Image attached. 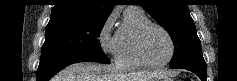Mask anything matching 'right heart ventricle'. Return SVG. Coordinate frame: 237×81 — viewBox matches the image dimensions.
I'll return each instance as SVG.
<instances>
[{
  "mask_svg": "<svg viewBox=\"0 0 237 81\" xmlns=\"http://www.w3.org/2000/svg\"><path fill=\"white\" fill-rule=\"evenodd\" d=\"M150 22L148 16L141 9L130 8L125 11L124 23L116 32L115 61L126 68H141L144 64L135 52V36L138 29Z\"/></svg>",
  "mask_w": 237,
  "mask_h": 81,
  "instance_id": "e07e8e85",
  "label": "right heart ventricle"
}]
</instances>
